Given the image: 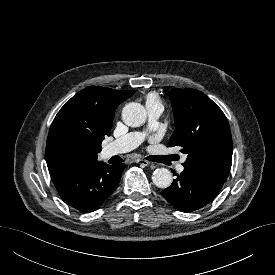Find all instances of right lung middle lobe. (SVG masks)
<instances>
[{"label": "right lung middle lobe", "mask_w": 275, "mask_h": 275, "mask_svg": "<svg viewBox=\"0 0 275 275\" xmlns=\"http://www.w3.org/2000/svg\"><path fill=\"white\" fill-rule=\"evenodd\" d=\"M83 151V146L75 142L67 143L63 148L64 156L69 159H75L79 157L83 153Z\"/></svg>", "instance_id": "dd1d6c3e"}]
</instances>
